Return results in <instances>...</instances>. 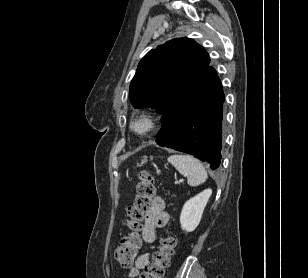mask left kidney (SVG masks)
<instances>
[{"label":"left kidney","instance_id":"obj_1","mask_svg":"<svg viewBox=\"0 0 308 278\" xmlns=\"http://www.w3.org/2000/svg\"><path fill=\"white\" fill-rule=\"evenodd\" d=\"M211 194L212 190L206 189L184 204L180 215V224L183 230L192 232L197 228Z\"/></svg>","mask_w":308,"mask_h":278}]
</instances>
